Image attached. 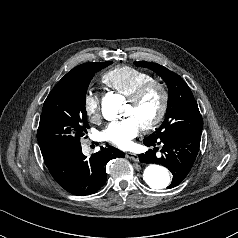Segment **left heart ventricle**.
I'll return each mask as SVG.
<instances>
[{
    "label": "left heart ventricle",
    "instance_id": "obj_1",
    "mask_svg": "<svg viewBox=\"0 0 238 238\" xmlns=\"http://www.w3.org/2000/svg\"><path fill=\"white\" fill-rule=\"evenodd\" d=\"M160 105V93L151 90L142 102L137 106L127 103L124 110V117H133L140 126L150 121L157 113Z\"/></svg>",
    "mask_w": 238,
    "mask_h": 238
}]
</instances>
